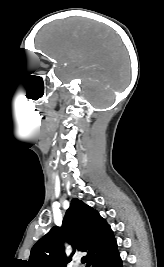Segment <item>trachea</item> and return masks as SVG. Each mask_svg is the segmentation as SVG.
<instances>
[{
	"mask_svg": "<svg viewBox=\"0 0 164 267\" xmlns=\"http://www.w3.org/2000/svg\"><path fill=\"white\" fill-rule=\"evenodd\" d=\"M81 262H82V263H85V262H86V258L83 257V258L81 259Z\"/></svg>",
	"mask_w": 164,
	"mask_h": 267,
	"instance_id": "trachea-1",
	"label": "trachea"
}]
</instances>
